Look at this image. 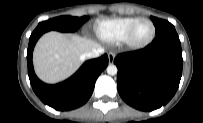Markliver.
I'll use <instances>...</instances> for the list:
<instances>
[{
	"instance_id": "obj_1",
	"label": "liver",
	"mask_w": 203,
	"mask_h": 123,
	"mask_svg": "<svg viewBox=\"0 0 203 123\" xmlns=\"http://www.w3.org/2000/svg\"><path fill=\"white\" fill-rule=\"evenodd\" d=\"M100 45L77 34L51 31L37 42L33 52L36 75L46 83H58L70 77L87 52Z\"/></svg>"
}]
</instances>
